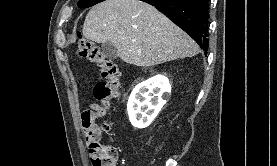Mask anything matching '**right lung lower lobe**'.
Masks as SVG:
<instances>
[{"label":"right lung lower lobe","mask_w":277,"mask_h":166,"mask_svg":"<svg viewBox=\"0 0 277 166\" xmlns=\"http://www.w3.org/2000/svg\"><path fill=\"white\" fill-rule=\"evenodd\" d=\"M155 6L208 51L209 0H141Z\"/></svg>","instance_id":"1"}]
</instances>
